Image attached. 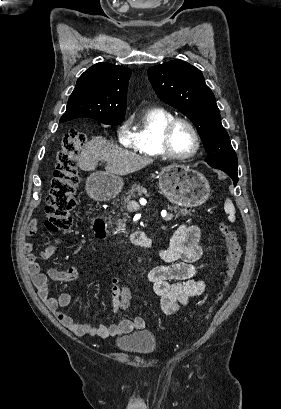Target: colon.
I'll use <instances>...</instances> for the list:
<instances>
[{"label": "colon", "instance_id": "obj_1", "mask_svg": "<svg viewBox=\"0 0 281 409\" xmlns=\"http://www.w3.org/2000/svg\"><path fill=\"white\" fill-rule=\"evenodd\" d=\"M88 141L89 136L82 129H73L64 135L62 148L57 154L55 180L44 208L45 226L50 231H63L71 226L72 212L76 206L74 195L79 181L76 159ZM219 228L227 249L226 266L221 289L204 321L208 320L216 305L223 299L241 257V246L236 232L224 223H221Z\"/></svg>", "mask_w": 281, "mask_h": 409}]
</instances>
